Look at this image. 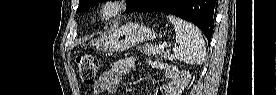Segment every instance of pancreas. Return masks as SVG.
Returning a JSON list of instances; mask_svg holds the SVG:
<instances>
[{"label": "pancreas", "mask_w": 277, "mask_h": 95, "mask_svg": "<svg viewBox=\"0 0 277 95\" xmlns=\"http://www.w3.org/2000/svg\"><path fill=\"white\" fill-rule=\"evenodd\" d=\"M140 51L144 52V54H148L149 56H155V57H163L164 59L166 60H174V56L165 51V50H161V49H158V48H154V46L152 44H149V45H146L143 47V49H139Z\"/></svg>", "instance_id": "cf45deb5"}]
</instances>
